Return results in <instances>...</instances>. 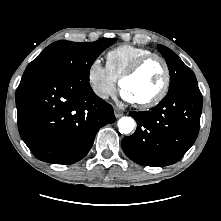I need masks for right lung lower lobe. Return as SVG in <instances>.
I'll list each match as a JSON object with an SVG mask.
<instances>
[{"label":"right lung lower lobe","mask_w":221,"mask_h":221,"mask_svg":"<svg viewBox=\"0 0 221 221\" xmlns=\"http://www.w3.org/2000/svg\"><path fill=\"white\" fill-rule=\"evenodd\" d=\"M16 107L21 138L36 158L53 164L84 158L97 131L116 120L89 81L46 70L24 72Z\"/></svg>","instance_id":"obj_1"}]
</instances>
